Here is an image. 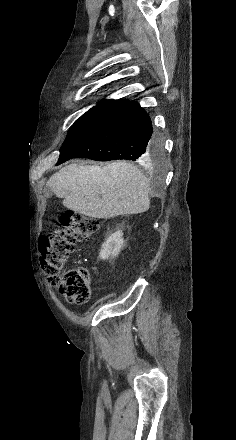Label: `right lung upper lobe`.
<instances>
[{"instance_id":"right-lung-upper-lobe-1","label":"right lung upper lobe","mask_w":236,"mask_h":440,"mask_svg":"<svg viewBox=\"0 0 236 440\" xmlns=\"http://www.w3.org/2000/svg\"><path fill=\"white\" fill-rule=\"evenodd\" d=\"M129 100H125V99H119V100H104L102 102L99 103V105L101 106H110L112 108H116L126 102H128Z\"/></svg>"}]
</instances>
